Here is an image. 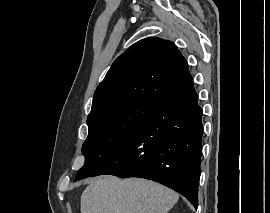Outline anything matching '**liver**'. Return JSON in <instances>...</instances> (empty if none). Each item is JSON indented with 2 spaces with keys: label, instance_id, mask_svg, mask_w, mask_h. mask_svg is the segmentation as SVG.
<instances>
[{
  "label": "liver",
  "instance_id": "liver-1",
  "mask_svg": "<svg viewBox=\"0 0 270 213\" xmlns=\"http://www.w3.org/2000/svg\"><path fill=\"white\" fill-rule=\"evenodd\" d=\"M179 195L158 183L98 177L81 195V213H168Z\"/></svg>",
  "mask_w": 270,
  "mask_h": 213
}]
</instances>
